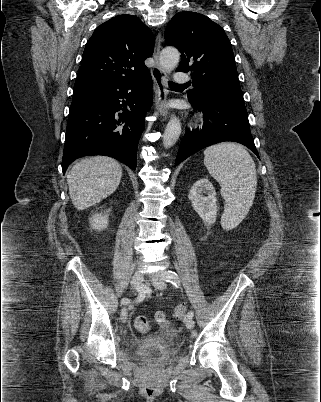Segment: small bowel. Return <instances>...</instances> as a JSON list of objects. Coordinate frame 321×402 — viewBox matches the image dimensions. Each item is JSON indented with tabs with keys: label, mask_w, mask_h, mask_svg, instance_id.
Instances as JSON below:
<instances>
[{
	"label": "small bowel",
	"mask_w": 321,
	"mask_h": 402,
	"mask_svg": "<svg viewBox=\"0 0 321 402\" xmlns=\"http://www.w3.org/2000/svg\"><path fill=\"white\" fill-rule=\"evenodd\" d=\"M159 315H161L163 318L159 319L158 318ZM156 318H157V321L159 322L160 327L162 329V335L167 337V338L171 337L174 331L171 328L170 322L167 320L165 314L163 312H157L156 313Z\"/></svg>",
	"instance_id": "1"
}]
</instances>
